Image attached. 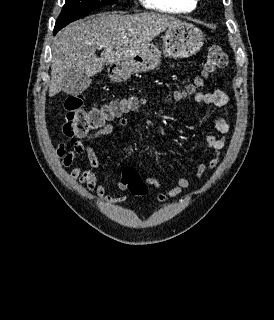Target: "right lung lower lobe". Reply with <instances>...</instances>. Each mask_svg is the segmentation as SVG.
I'll return each mask as SVG.
<instances>
[{
	"mask_svg": "<svg viewBox=\"0 0 274 320\" xmlns=\"http://www.w3.org/2000/svg\"><path fill=\"white\" fill-rule=\"evenodd\" d=\"M58 31H59V30H58ZM58 31H55V30H54V35H55Z\"/></svg>",
	"mask_w": 274,
	"mask_h": 320,
	"instance_id": "obj_1",
	"label": "right lung lower lobe"
}]
</instances>
